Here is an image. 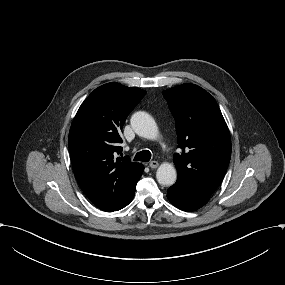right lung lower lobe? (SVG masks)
<instances>
[{
  "label": "right lung lower lobe",
  "instance_id": "98d812e1",
  "mask_svg": "<svg viewBox=\"0 0 285 285\" xmlns=\"http://www.w3.org/2000/svg\"><path fill=\"white\" fill-rule=\"evenodd\" d=\"M140 179V178H139ZM137 184V182H136ZM136 184L134 185V187L132 188L130 194L128 195V197L126 198L125 202L121 205V207L117 210H120L122 208H124L125 206H127L133 199L134 194H135V188H136Z\"/></svg>",
  "mask_w": 285,
  "mask_h": 285
}]
</instances>
